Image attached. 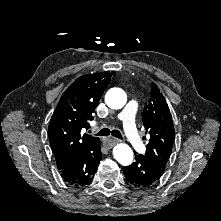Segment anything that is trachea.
Instances as JSON below:
<instances>
[{"label": "trachea", "mask_w": 221, "mask_h": 221, "mask_svg": "<svg viewBox=\"0 0 221 221\" xmlns=\"http://www.w3.org/2000/svg\"><path fill=\"white\" fill-rule=\"evenodd\" d=\"M110 134L116 138L123 139L121 133L118 130L110 131L108 128H104V129L100 130L96 135L97 136H107Z\"/></svg>", "instance_id": "obj_1"}]
</instances>
